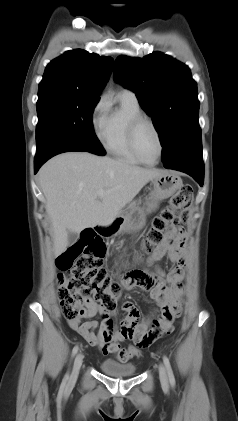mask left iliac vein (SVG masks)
<instances>
[{"mask_svg":"<svg viewBox=\"0 0 238 421\" xmlns=\"http://www.w3.org/2000/svg\"><path fill=\"white\" fill-rule=\"evenodd\" d=\"M159 376H160V381L162 383L163 386H168V375H167V370L165 368V366L163 364L159 365Z\"/></svg>","mask_w":238,"mask_h":421,"instance_id":"1","label":"left iliac vein"}]
</instances>
